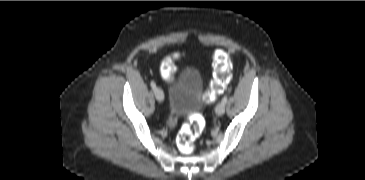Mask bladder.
Masks as SVG:
<instances>
[{
  "instance_id": "31cf9c89",
  "label": "bladder",
  "mask_w": 365,
  "mask_h": 180,
  "mask_svg": "<svg viewBox=\"0 0 365 180\" xmlns=\"http://www.w3.org/2000/svg\"><path fill=\"white\" fill-rule=\"evenodd\" d=\"M204 81L195 68H184L169 82L168 109L174 117L200 112L205 104L201 96Z\"/></svg>"
}]
</instances>
